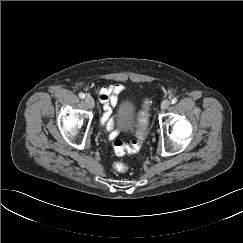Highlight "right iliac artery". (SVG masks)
Segmentation results:
<instances>
[{
	"label": "right iliac artery",
	"instance_id": "obj_1",
	"mask_svg": "<svg viewBox=\"0 0 243 243\" xmlns=\"http://www.w3.org/2000/svg\"><path fill=\"white\" fill-rule=\"evenodd\" d=\"M79 97H80L81 99H84L85 94L81 92V93H79Z\"/></svg>",
	"mask_w": 243,
	"mask_h": 243
}]
</instances>
